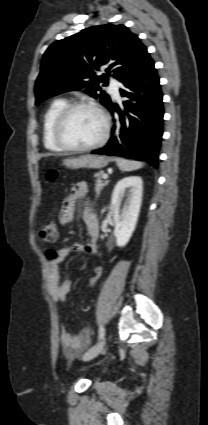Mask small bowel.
I'll return each mask as SVG.
<instances>
[{
  "label": "small bowel",
  "instance_id": "1",
  "mask_svg": "<svg viewBox=\"0 0 208 425\" xmlns=\"http://www.w3.org/2000/svg\"><path fill=\"white\" fill-rule=\"evenodd\" d=\"M87 193L88 185L85 182H78L72 187L71 193L64 200L60 213L59 219L62 224H67L73 220L77 202L84 199ZM81 219L87 228L90 241L88 243L76 242L70 247L59 249L56 252V257L49 261L47 267L50 295L61 304L65 303L66 296L71 288V282L69 280H60V264L65 258L74 253L93 255L97 252L96 242L99 237V223L97 216L87 202L82 205ZM60 341L64 354L68 358H74L89 344L90 335L87 330H82L80 333L73 335L64 327L61 331Z\"/></svg>",
  "mask_w": 208,
  "mask_h": 425
}]
</instances>
